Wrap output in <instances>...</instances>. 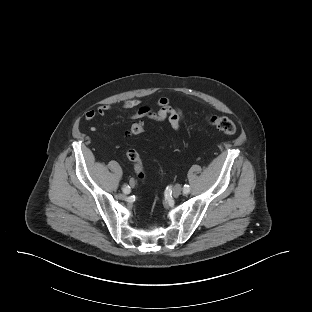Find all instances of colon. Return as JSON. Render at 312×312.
Returning a JSON list of instances; mask_svg holds the SVG:
<instances>
[{"label": "colon", "mask_w": 312, "mask_h": 312, "mask_svg": "<svg viewBox=\"0 0 312 312\" xmlns=\"http://www.w3.org/2000/svg\"><path fill=\"white\" fill-rule=\"evenodd\" d=\"M208 124L217 131L232 135L235 133L236 127L234 122L225 116H210L207 119ZM144 131V126L141 122H134L128 133L130 135H139ZM127 158L133 163L135 172L140 179L145 177V171L139 153L135 149H129L126 153Z\"/></svg>", "instance_id": "obj_1"}]
</instances>
